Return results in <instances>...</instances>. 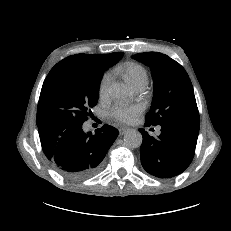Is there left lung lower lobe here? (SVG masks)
Instances as JSON below:
<instances>
[{
	"mask_svg": "<svg viewBox=\"0 0 231 231\" xmlns=\"http://www.w3.org/2000/svg\"><path fill=\"white\" fill-rule=\"evenodd\" d=\"M145 126H150L145 123ZM143 137L140 157L143 168L159 178L181 174L192 162L195 154L199 126L193 124L161 125L158 138L139 129Z\"/></svg>",
	"mask_w": 231,
	"mask_h": 231,
	"instance_id": "1",
	"label": "left lung lower lobe"
}]
</instances>
